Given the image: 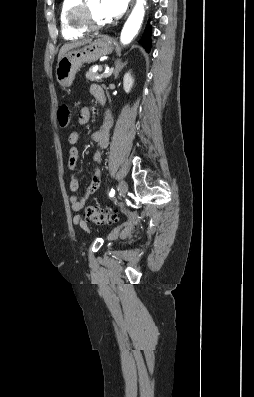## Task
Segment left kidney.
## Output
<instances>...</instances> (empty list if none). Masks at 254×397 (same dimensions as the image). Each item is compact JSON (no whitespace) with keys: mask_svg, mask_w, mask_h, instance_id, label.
<instances>
[{"mask_svg":"<svg viewBox=\"0 0 254 397\" xmlns=\"http://www.w3.org/2000/svg\"><path fill=\"white\" fill-rule=\"evenodd\" d=\"M133 84H134V79L131 73L130 72L126 73L123 78V88L126 93H129L131 91Z\"/></svg>","mask_w":254,"mask_h":397,"instance_id":"left-kidney-1","label":"left kidney"}]
</instances>
